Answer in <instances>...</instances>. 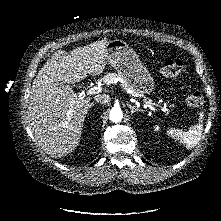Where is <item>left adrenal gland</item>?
<instances>
[{
    "instance_id": "1",
    "label": "left adrenal gland",
    "mask_w": 221,
    "mask_h": 221,
    "mask_svg": "<svg viewBox=\"0 0 221 221\" xmlns=\"http://www.w3.org/2000/svg\"><path fill=\"white\" fill-rule=\"evenodd\" d=\"M127 106L130 108L131 113L134 114L136 112H143V110L136 108L135 106H132L131 104L127 103Z\"/></svg>"
}]
</instances>
